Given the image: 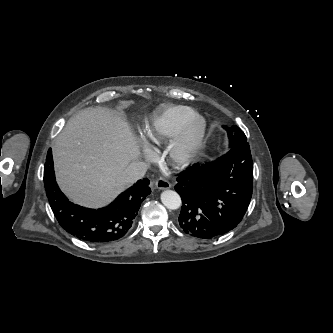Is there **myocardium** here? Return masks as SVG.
<instances>
[{"instance_id":"1","label":"myocardium","mask_w":333,"mask_h":333,"mask_svg":"<svg viewBox=\"0 0 333 333\" xmlns=\"http://www.w3.org/2000/svg\"><path fill=\"white\" fill-rule=\"evenodd\" d=\"M207 132V120L200 114L190 117L173 138L169 159L175 167L188 166L200 150Z\"/></svg>"}]
</instances>
